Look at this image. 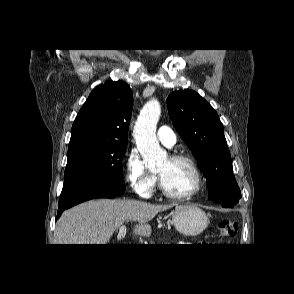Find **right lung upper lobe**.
I'll use <instances>...</instances> for the list:
<instances>
[{"mask_svg": "<svg viewBox=\"0 0 294 294\" xmlns=\"http://www.w3.org/2000/svg\"><path fill=\"white\" fill-rule=\"evenodd\" d=\"M132 105V90L125 82L99 85L76 116L69 145L83 142L127 145Z\"/></svg>", "mask_w": 294, "mask_h": 294, "instance_id": "cb5924a9", "label": "right lung upper lobe"}]
</instances>
